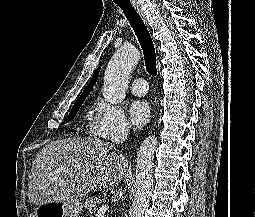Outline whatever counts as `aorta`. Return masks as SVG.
Returning <instances> with one entry per match:
<instances>
[{"mask_svg": "<svg viewBox=\"0 0 255 217\" xmlns=\"http://www.w3.org/2000/svg\"><path fill=\"white\" fill-rule=\"evenodd\" d=\"M140 59L136 47L123 45L109 61L103 84V97L111 104L121 103L126 95L129 77ZM157 138L147 137L141 144L136 159V190L129 217H144L153 189V159Z\"/></svg>", "mask_w": 255, "mask_h": 217, "instance_id": "obj_1", "label": "aorta"}]
</instances>
